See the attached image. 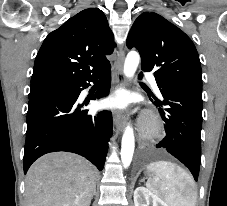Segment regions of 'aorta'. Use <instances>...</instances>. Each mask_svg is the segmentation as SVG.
I'll return each instance as SVG.
<instances>
[{"label": "aorta", "instance_id": "1", "mask_svg": "<svg viewBox=\"0 0 227 206\" xmlns=\"http://www.w3.org/2000/svg\"><path fill=\"white\" fill-rule=\"evenodd\" d=\"M140 56L136 51H130L125 59L123 72L127 78H132L139 65ZM135 147L134 131L130 125H127L122 137L121 161L124 168L129 167Z\"/></svg>", "mask_w": 227, "mask_h": 206}]
</instances>
